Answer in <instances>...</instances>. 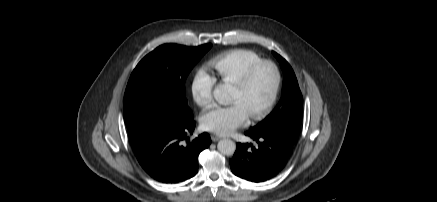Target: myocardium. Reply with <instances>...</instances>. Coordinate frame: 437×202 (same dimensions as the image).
<instances>
[{"instance_id":"f54148a6","label":"myocardium","mask_w":437,"mask_h":202,"mask_svg":"<svg viewBox=\"0 0 437 202\" xmlns=\"http://www.w3.org/2000/svg\"><path fill=\"white\" fill-rule=\"evenodd\" d=\"M262 66H270L273 69L275 81L272 93L268 101L257 112L250 115V118L255 121L264 118L271 111L278 98L281 86V72L279 67L272 60L261 59L249 66L244 71V73L233 83L234 86L239 88L247 87L256 71Z\"/></svg>"}]
</instances>
